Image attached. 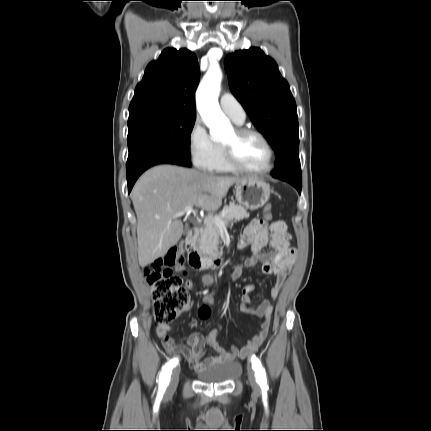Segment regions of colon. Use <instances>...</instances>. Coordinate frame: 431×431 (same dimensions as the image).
<instances>
[{
  "label": "colon",
  "instance_id": "colon-1",
  "mask_svg": "<svg viewBox=\"0 0 431 431\" xmlns=\"http://www.w3.org/2000/svg\"><path fill=\"white\" fill-rule=\"evenodd\" d=\"M264 217L270 219L272 217L271 205H267L264 210ZM185 262L184 253L178 248L170 249L166 255L158 258L150 267L145 268L144 274L148 284L151 286L152 298H153V309L158 325H163L172 318H174L180 309L185 308V312H190L188 307L189 294L186 286L183 285L182 278L175 274L173 269H182ZM233 270H240V267H235V264H231ZM231 267H227V270H231ZM236 278L224 279V283H217V288L220 291H216V296H221L223 288H232V283H236ZM228 282V283H225ZM209 301H213L214 292L207 291ZM196 305H200V302H196ZM187 306V307H186ZM198 320L200 322H211V308L208 298H204L201 303V308L196 312Z\"/></svg>",
  "mask_w": 431,
  "mask_h": 431
}]
</instances>
